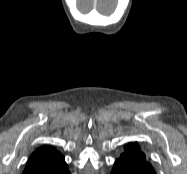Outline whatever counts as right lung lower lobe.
<instances>
[{
  "instance_id": "obj_1",
  "label": "right lung lower lobe",
  "mask_w": 187,
  "mask_h": 174,
  "mask_svg": "<svg viewBox=\"0 0 187 174\" xmlns=\"http://www.w3.org/2000/svg\"><path fill=\"white\" fill-rule=\"evenodd\" d=\"M60 174H70V173H69L68 168H67L63 172H61Z\"/></svg>"
}]
</instances>
